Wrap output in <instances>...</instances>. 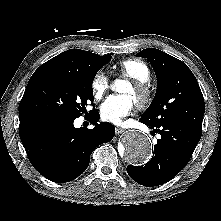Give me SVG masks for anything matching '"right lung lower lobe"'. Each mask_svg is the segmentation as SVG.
<instances>
[{
  "instance_id": "right-lung-lower-lobe-1",
  "label": "right lung lower lobe",
  "mask_w": 221,
  "mask_h": 221,
  "mask_svg": "<svg viewBox=\"0 0 221 221\" xmlns=\"http://www.w3.org/2000/svg\"><path fill=\"white\" fill-rule=\"evenodd\" d=\"M90 118L95 124L93 129L75 128L74 119L54 113H20V138L33 167L57 183L80 176L88 167L93 150L115 135L112 124L97 123V111Z\"/></svg>"
}]
</instances>
